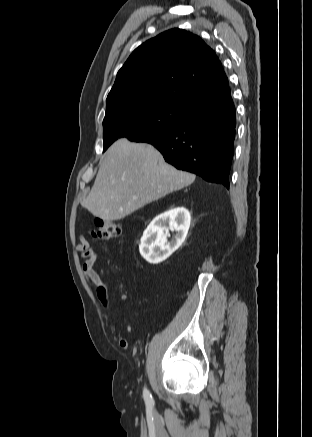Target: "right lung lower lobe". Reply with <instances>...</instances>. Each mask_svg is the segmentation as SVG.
<instances>
[{
    "mask_svg": "<svg viewBox=\"0 0 312 437\" xmlns=\"http://www.w3.org/2000/svg\"><path fill=\"white\" fill-rule=\"evenodd\" d=\"M236 114L230 88L199 105L176 129L144 142L154 145L178 169L229 188Z\"/></svg>",
    "mask_w": 312,
    "mask_h": 437,
    "instance_id": "right-lung-lower-lobe-1",
    "label": "right lung lower lobe"
}]
</instances>
